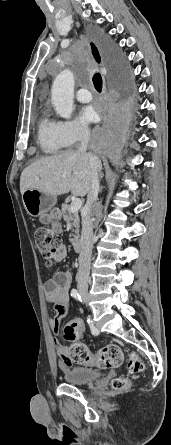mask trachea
I'll return each mask as SVG.
<instances>
[{"label": "trachea", "instance_id": "3493384b", "mask_svg": "<svg viewBox=\"0 0 171 445\" xmlns=\"http://www.w3.org/2000/svg\"><path fill=\"white\" fill-rule=\"evenodd\" d=\"M93 84H94L95 89L98 92L102 91V77H101V75L99 73L94 74V76H93Z\"/></svg>", "mask_w": 171, "mask_h": 445}]
</instances>
